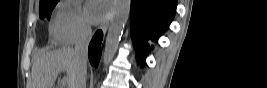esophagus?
Returning a JSON list of instances; mask_svg holds the SVG:
<instances>
[{"instance_id":"obj_1","label":"esophagus","mask_w":267,"mask_h":88,"mask_svg":"<svg viewBox=\"0 0 267 88\" xmlns=\"http://www.w3.org/2000/svg\"><path fill=\"white\" fill-rule=\"evenodd\" d=\"M112 18H113L112 14H108L106 16V18L104 19L103 23L100 26V28L103 31V33H106V31H107V29H108V27L110 25V22H111Z\"/></svg>"}]
</instances>
